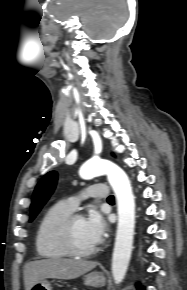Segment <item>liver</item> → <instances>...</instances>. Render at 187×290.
Returning a JSON list of instances; mask_svg holds the SVG:
<instances>
[{
    "label": "liver",
    "instance_id": "liver-1",
    "mask_svg": "<svg viewBox=\"0 0 187 290\" xmlns=\"http://www.w3.org/2000/svg\"><path fill=\"white\" fill-rule=\"evenodd\" d=\"M96 261L50 258L31 261L24 266L25 290L46 278L74 279L97 266Z\"/></svg>",
    "mask_w": 187,
    "mask_h": 290
}]
</instances>
